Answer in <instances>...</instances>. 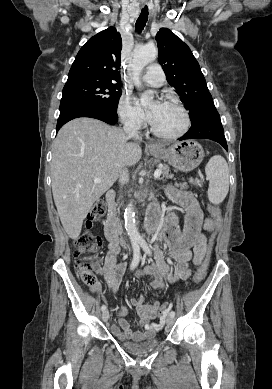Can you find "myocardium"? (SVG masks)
<instances>
[{"instance_id":"obj_1","label":"myocardium","mask_w":272,"mask_h":389,"mask_svg":"<svg viewBox=\"0 0 272 389\" xmlns=\"http://www.w3.org/2000/svg\"><path fill=\"white\" fill-rule=\"evenodd\" d=\"M163 103L170 105V106H174L175 108H177L180 111V113L183 116V125L177 132L169 134V133H163V132L156 130L155 127L153 126V124L150 122V131L153 135H155L156 137L161 138V139H165V140L178 139V138L182 137L183 135H185L190 128L191 119H190L189 112L186 109V107L182 103H180L178 100L165 99L163 101Z\"/></svg>"}]
</instances>
